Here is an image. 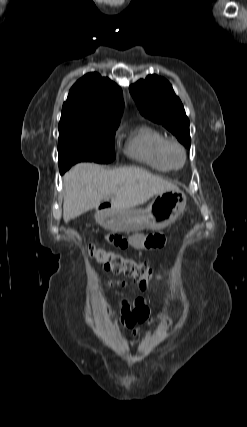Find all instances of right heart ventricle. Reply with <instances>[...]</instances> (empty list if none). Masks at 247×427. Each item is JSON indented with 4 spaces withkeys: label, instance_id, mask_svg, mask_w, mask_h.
Returning <instances> with one entry per match:
<instances>
[{
    "label": "right heart ventricle",
    "instance_id": "e07e8e85",
    "mask_svg": "<svg viewBox=\"0 0 247 427\" xmlns=\"http://www.w3.org/2000/svg\"><path fill=\"white\" fill-rule=\"evenodd\" d=\"M167 138L159 130L149 125L136 128L128 138L126 154L148 167L168 172L172 169L165 157Z\"/></svg>",
    "mask_w": 247,
    "mask_h": 427
}]
</instances>
